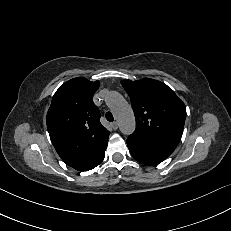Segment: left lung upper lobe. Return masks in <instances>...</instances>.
<instances>
[{
  "instance_id": "left-lung-upper-lobe-1",
  "label": "left lung upper lobe",
  "mask_w": 231,
  "mask_h": 231,
  "mask_svg": "<svg viewBox=\"0 0 231 231\" xmlns=\"http://www.w3.org/2000/svg\"><path fill=\"white\" fill-rule=\"evenodd\" d=\"M121 84L130 96L136 119V129L127 140L148 151L171 155L185 123L186 108L182 100L157 80H122Z\"/></svg>"
}]
</instances>
